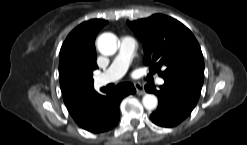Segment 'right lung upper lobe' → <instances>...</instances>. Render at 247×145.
Here are the masks:
<instances>
[{
	"mask_svg": "<svg viewBox=\"0 0 247 145\" xmlns=\"http://www.w3.org/2000/svg\"><path fill=\"white\" fill-rule=\"evenodd\" d=\"M107 23V21L101 19L89 20L77 26L67 36L60 50L59 77L66 69L73 66L90 70L97 68L95 37L99 30ZM62 93L66 104L81 96L67 95L63 89Z\"/></svg>",
	"mask_w": 247,
	"mask_h": 145,
	"instance_id": "obj_1",
	"label": "right lung upper lobe"
}]
</instances>
